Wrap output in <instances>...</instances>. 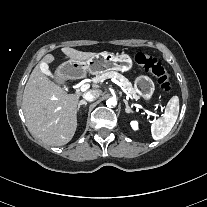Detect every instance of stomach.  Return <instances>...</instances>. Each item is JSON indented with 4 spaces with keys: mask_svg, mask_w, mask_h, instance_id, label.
<instances>
[{
    "mask_svg": "<svg viewBox=\"0 0 207 207\" xmlns=\"http://www.w3.org/2000/svg\"><path fill=\"white\" fill-rule=\"evenodd\" d=\"M144 60V54L133 48H123L115 53H109L104 57L105 65H111V68L107 70L111 73L112 79L120 81V86L127 97L135 99L136 101L141 99L147 106H149L152 104L156 90L155 83L151 77L140 74L134 78L133 85L130 83V86L122 82L123 79H127L123 74L130 72L137 62L143 63ZM70 69L72 72L73 66H70ZM156 77L159 79L160 83L163 81L160 79L162 76ZM124 102L126 105V112L133 113V104H130L128 99L124 100Z\"/></svg>",
    "mask_w": 207,
    "mask_h": 207,
    "instance_id": "1",
    "label": "stomach"
}]
</instances>
